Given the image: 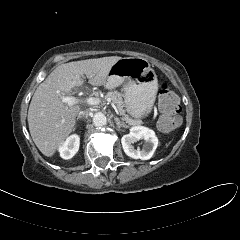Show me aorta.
<instances>
[{"label": "aorta", "instance_id": "762f6f07", "mask_svg": "<svg viewBox=\"0 0 240 240\" xmlns=\"http://www.w3.org/2000/svg\"><path fill=\"white\" fill-rule=\"evenodd\" d=\"M93 124L96 127H101L107 124L106 116L103 113H96L93 116Z\"/></svg>", "mask_w": 240, "mask_h": 240}]
</instances>
